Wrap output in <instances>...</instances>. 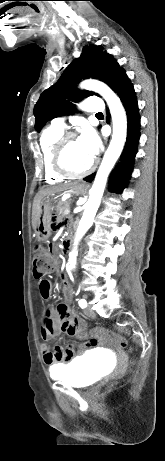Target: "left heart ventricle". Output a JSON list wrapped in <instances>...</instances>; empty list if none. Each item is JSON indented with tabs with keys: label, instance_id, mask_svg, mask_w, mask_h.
Segmentation results:
<instances>
[{
	"label": "left heart ventricle",
	"instance_id": "left-heart-ventricle-1",
	"mask_svg": "<svg viewBox=\"0 0 165 461\" xmlns=\"http://www.w3.org/2000/svg\"><path fill=\"white\" fill-rule=\"evenodd\" d=\"M92 160L93 156L84 149L77 137L67 143L65 162L70 169L82 171L90 165Z\"/></svg>",
	"mask_w": 165,
	"mask_h": 461
}]
</instances>
